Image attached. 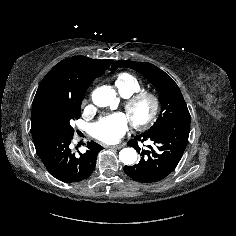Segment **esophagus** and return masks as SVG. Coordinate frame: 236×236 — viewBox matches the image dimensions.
Listing matches in <instances>:
<instances>
[{
    "label": "esophagus",
    "mask_w": 236,
    "mask_h": 236,
    "mask_svg": "<svg viewBox=\"0 0 236 236\" xmlns=\"http://www.w3.org/2000/svg\"><path fill=\"white\" fill-rule=\"evenodd\" d=\"M107 148L120 149L122 145L106 146Z\"/></svg>",
    "instance_id": "1"
}]
</instances>
